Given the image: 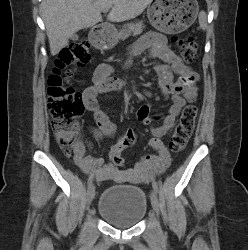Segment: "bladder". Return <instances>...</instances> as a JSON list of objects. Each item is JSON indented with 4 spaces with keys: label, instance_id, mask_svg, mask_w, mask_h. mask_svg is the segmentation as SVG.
I'll return each instance as SVG.
<instances>
[{
    "label": "bladder",
    "instance_id": "obj_1",
    "mask_svg": "<svg viewBox=\"0 0 248 250\" xmlns=\"http://www.w3.org/2000/svg\"><path fill=\"white\" fill-rule=\"evenodd\" d=\"M148 211L143 189L123 185L106 189L101 194L97 212L111 225L130 228L140 222Z\"/></svg>",
    "mask_w": 248,
    "mask_h": 250
}]
</instances>
